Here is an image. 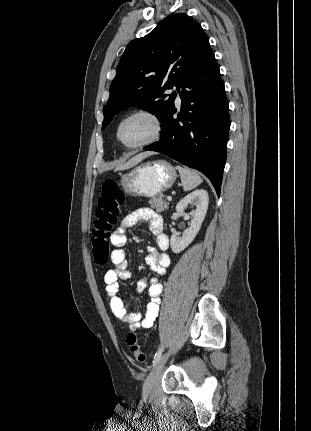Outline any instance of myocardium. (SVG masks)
Here are the masks:
<instances>
[{"mask_svg":"<svg viewBox=\"0 0 311 431\" xmlns=\"http://www.w3.org/2000/svg\"><path fill=\"white\" fill-rule=\"evenodd\" d=\"M133 115H145L150 117L154 123H155V132L154 134L146 141H143L141 143H137V144H132V145H128L123 143L119 136H118V127L120 122L129 117V116H133ZM164 132V121L162 119V117L159 115V113L151 108H146V107H142V108H137L134 110H131L125 114H123L122 116H120L115 125H114V136L116 138V140L124 147L127 149H139V148H144V147H148L152 144H154L155 142H157L161 136L163 135Z\"/></svg>","mask_w":311,"mask_h":431,"instance_id":"f54148a6","label":"myocardium"}]
</instances>
